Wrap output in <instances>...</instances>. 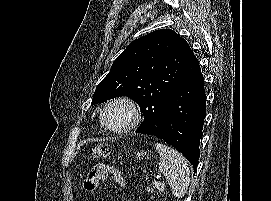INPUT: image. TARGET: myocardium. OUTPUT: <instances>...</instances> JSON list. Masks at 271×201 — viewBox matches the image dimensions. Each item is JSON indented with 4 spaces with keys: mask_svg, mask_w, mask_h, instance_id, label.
I'll return each mask as SVG.
<instances>
[{
    "mask_svg": "<svg viewBox=\"0 0 271 201\" xmlns=\"http://www.w3.org/2000/svg\"><path fill=\"white\" fill-rule=\"evenodd\" d=\"M115 104H125L126 106L129 107L132 113L131 122L121 128H113L106 121L107 110L109 109V107ZM100 122L103 128L109 132L116 133V134L126 133V132L136 129L140 125V123L142 122V112L139 105L132 98L127 97V96H119V97H115L109 100L104 105L100 114Z\"/></svg>",
    "mask_w": 271,
    "mask_h": 201,
    "instance_id": "1",
    "label": "myocardium"
}]
</instances>
